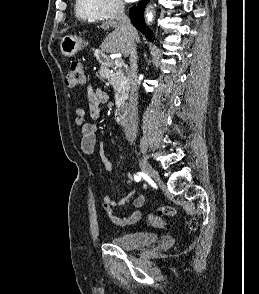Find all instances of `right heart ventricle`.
Listing matches in <instances>:
<instances>
[{
  "label": "right heart ventricle",
  "instance_id": "obj_1",
  "mask_svg": "<svg viewBox=\"0 0 259 294\" xmlns=\"http://www.w3.org/2000/svg\"><path fill=\"white\" fill-rule=\"evenodd\" d=\"M75 13L77 18L84 21L96 22L101 19L94 0H76Z\"/></svg>",
  "mask_w": 259,
  "mask_h": 294
}]
</instances>
